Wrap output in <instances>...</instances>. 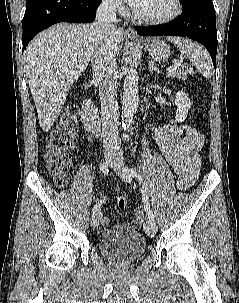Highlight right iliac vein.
Listing matches in <instances>:
<instances>
[{"mask_svg": "<svg viewBox=\"0 0 239 303\" xmlns=\"http://www.w3.org/2000/svg\"><path fill=\"white\" fill-rule=\"evenodd\" d=\"M105 162L107 165H109L110 167H112L115 163V158L111 155H106L105 156ZM101 217H102V213L101 212H97L95 214L92 215L91 217V226L93 228H96L99 226V223L101 221Z\"/></svg>", "mask_w": 239, "mask_h": 303, "instance_id": "63e3f726", "label": "right iliac vein"}]
</instances>
